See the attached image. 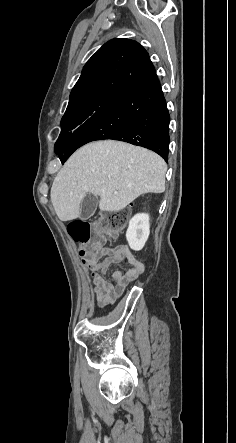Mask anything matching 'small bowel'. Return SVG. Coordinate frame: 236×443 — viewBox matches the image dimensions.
Returning a JSON list of instances; mask_svg holds the SVG:
<instances>
[{
    "instance_id": "obj_1",
    "label": "small bowel",
    "mask_w": 236,
    "mask_h": 443,
    "mask_svg": "<svg viewBox=\"0 0 236 443\" xmlns=\"http://www.w3.org/2000/svg\"><path fill=\"white\" fill-rule=\"evenodd\" d=\"M122 261H126L130 267L125 272L117 270L112 274L115 281L113 285L106 280L105 275L111 264ZM88 266L91 270L90 280L95 299L100 306L114 304L144 271L143 262L123 245L114 248L102 247L100 256L88 262Z\"/></svg>"
}]
</instances>
